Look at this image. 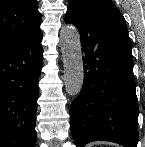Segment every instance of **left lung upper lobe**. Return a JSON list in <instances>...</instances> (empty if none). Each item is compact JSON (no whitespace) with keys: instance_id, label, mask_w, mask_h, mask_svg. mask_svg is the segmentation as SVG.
<instances>
[{"instance_id":"left-lung-upper-lobe-1","label":"left lung upper lobe","mask_w":145,"mask_h":147,"mask_svg":"<svg viewBox=\"0 0 145 147\" xmlns=\"http://www.w3.org/2000/svg\"><path fill=\"white\" fill-rule=\"evenodd\" d=\"M77 2H79V3H85V4L107 3L110 6H112L113 8L117 9L115 7V5L110 0H71V1H69L68 6L71 5V4H73V3H77Z\"/></svg>"}]
</instances>
